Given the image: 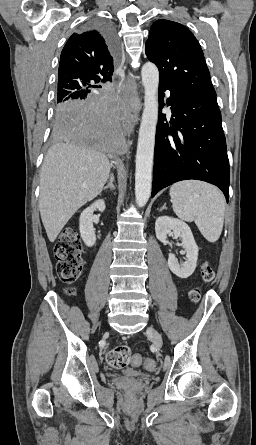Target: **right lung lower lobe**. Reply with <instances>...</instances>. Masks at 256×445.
Here are the masks:
<instances>
[{
  "label": "right lung lower lobe",
  "instance_id": "1",
  "mask_svg": "<svg viewBox=\"0 0 256 445\" xmlns=\"http://www.w3.org/2000/svg\"><path fill=\"white\" fill-rule=\"evenodd\" d=\"M89 27L100 31L112 51L118 55L116 35L105 22H94ZM72 102L56 112V135L71 142L92 147L112 158H120L126 150L117 118L118 101L113 96L94 94L72 97Z\"/></svg>",
  "mask_w": 256,
  "mask_h": 445
}]
</instances>
